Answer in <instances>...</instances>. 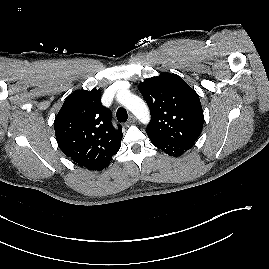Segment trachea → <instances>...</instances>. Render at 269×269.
Returning a JSON list of instances; mask_svg holds the SVG:
<instances>
[{"label":"trachea","instance_id":"trachea-1","mask_svg":"<svg viewBox=\"0 0 269 269\" xmlns=\"http://www.w3.org/2000/svg\"><path fill=\"white\" fill-rule=\"evenodd\" d=\"M116 116L119 122H126L128 119V114L124 108H119L117 110Z\"/></svg>","mask_w":269,"mask_h":269}]
</instances>
